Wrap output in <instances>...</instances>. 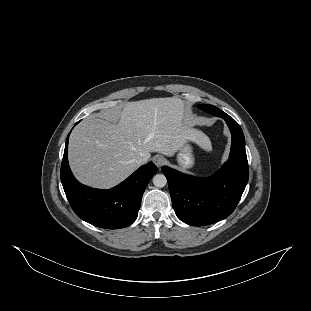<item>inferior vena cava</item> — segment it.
Instances as JSON below:
<instances>
[{"mask_svg":"<svg viewBox=\"0 0 311 311\" xmlns=\"http://www.w3.org/2000/svg\"><path fill=\"white\" fill-rule=\"evenodd\" d=\"M135 163H137L138 165H141L143 162V157L142 156H137L134 160Z\"/></svg>","mask_w":311,"mask_h":311,"instance_id":"602c4592","label":"inferior vena cava"}]
</instances>
